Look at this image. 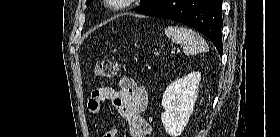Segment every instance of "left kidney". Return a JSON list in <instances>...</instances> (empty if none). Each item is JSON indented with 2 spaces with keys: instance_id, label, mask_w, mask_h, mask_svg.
I'll list each match as a JSON object with an SVG mask.
<instances>
[{
  "instance_id": "1",
  "label": "left kidney",
  "mask_w": 280,
  "mask_h": 137,
  "mask_svg": "<svg viewBox=\"0 0 280 137\" xmlns=\"http://www.w3.org/2000/svg\"><path fill=\"white\" fill-rule=\"evenodd\" d=\"M201 74L192 72L171 83L163 94L161 120L171 137H178L188 124L197 98Z\"/></svg>"
}]
</instances>
